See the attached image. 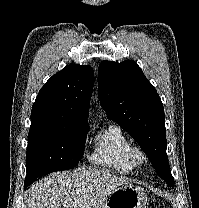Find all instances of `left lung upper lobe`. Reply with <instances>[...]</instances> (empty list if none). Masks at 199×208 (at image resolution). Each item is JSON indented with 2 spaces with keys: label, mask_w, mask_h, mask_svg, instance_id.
Masks as SVG:
<instances>
[{
  "label": "left lung upper lobe",
  "mask_w": 199,
  "mask_h": 208,
  "mask_svg": "<svg viewBox=\"0 0 199 208\" xmlns=\"http://www.w3.org/2000/svg\"><path fill=\"white\" fill-rule=\"evenodd\" d=\"M98 96L108 118L126 130L165 182L174 185L166 154L164 108L156 89L134 61H102Z\"/></svg>",
  "instance_id": "1"
}]
</instances>
